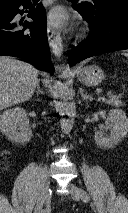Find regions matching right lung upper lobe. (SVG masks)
Here are the masks:
<instances>
[{
    "label": "right lung upper lobe",
    "mask_w": 128,
    "mask_h": 213,
    "mask_svg": "<svg viewBox=\"0 0 128 213\" xmlns=\"http://www.w3.org/2000/svg\"><path fill=\"white\" fill-rule=\"evenodd\" d=\"M22 0H0V8L9 7Z\"/></svg>",
    "instance_id": "obj_1"
}]
</instances>
